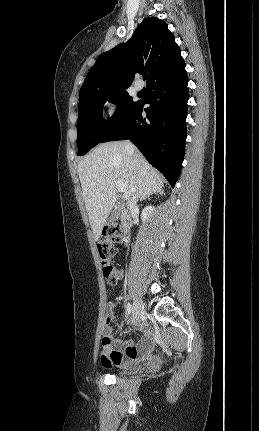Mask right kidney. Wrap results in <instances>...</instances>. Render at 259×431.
Masks as SVG:
<instances>
[{
    "instance_id": "1",
    "label": "right kidney",
    "mask_w": 259,
    "mask_h": 431,
    "mask_svg": "<svg viewBox=\"0 0 259 431\" xmlns=\"http://www.w3.org/2000/svg\"><path fill=\"white\" fill-rule=\"evenodd\" d=\"M154 207L152 206H146L142 213H141V219L143 222H145L146 220H148L149 216H151V213L154 211Z\"/></svg>"
}]
</instances>
